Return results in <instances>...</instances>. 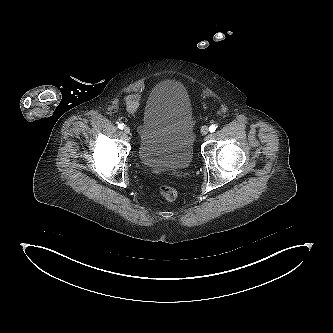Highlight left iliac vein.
<instances>
[{
	"label": "left iliac vein",
	"mask_w": 333,
	"mask_h": 333,
	"mask_svg": "<svg viewBox=\"0 0 333 333\" xmlns=\"http://www.w3.org/2000/svg\"><path fill=\"white\" fill-rule=\"evenodd\" d=\"M208 131H209V129H208L207 126H202V127H201V134H202V135H206V134H208Z\"/></svg>",
	"instance_id": "obj_1"
}]
</instances>
